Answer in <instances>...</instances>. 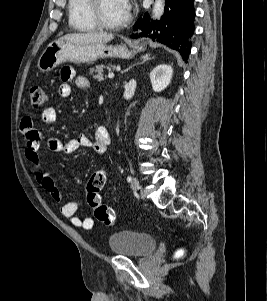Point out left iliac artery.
I'll return each instance as SVG.
<instances>
[{"label": "left iliac artery", "mask_w": 267, "mask_h": 301, "mask_svg": "<svg viewBox=\"0 0 267 301\" xmlns=\"http://www.w3.org/2000/svg\"><path fill=\"white\" fill-rule=\"evenodd\" d=\"M131 180H132V177H131V176H128V177H127V181H128V182H131Z\"/></svg>", "instance_id": "left-iliac-artery-1"}]
</instances>
